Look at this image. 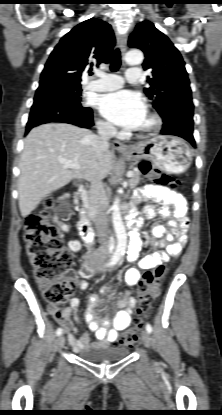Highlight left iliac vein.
Listing matches in <instances>:
<instances>
[{
    "instance_id": "left-iliac-vein-1",
    "label": "left iliac vein",
    "mask_w": 222,
    "mask_h": 415,
    "mask_svg": "<svg viewBox=\"0 0 222 415\" xmlns=\"http://www.w3.org/2000/svg\"><path fill=\"white\" fill-rule=\"evenodd\" d=\"M142 342L144 344L145 347H149L151 344V337L148 331L144 330L142 332Z\"/></svg>"
}]
</instances>
